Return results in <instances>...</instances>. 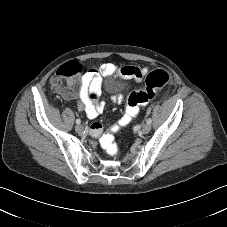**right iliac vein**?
I'll return each instance as SVG.
<instances>
[{"label": "right iliac vein", "mask_w": 227, "mask_h": 227, "mask_svg": "<svg viewBox=\"0 0 227 227\" xmlns=\"http://www.w3.org/2000/svg\"><path fill=\"white\" fill-rule=\"evenodd\" d=\"M83 130H84V128H83V126L82 125H76V127H75V131L78 133V134H82L83 133Z\"/></svg>", "instance_id": "obj_1"}]
</instances>
